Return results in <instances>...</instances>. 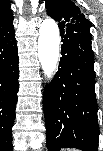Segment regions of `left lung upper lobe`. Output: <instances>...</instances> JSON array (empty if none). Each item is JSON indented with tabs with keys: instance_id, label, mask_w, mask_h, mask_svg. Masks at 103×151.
<instances>
[{
	"instance_id": "1",
	"label": "left lung upper lobe",
	"mask_w": 103,
	"mask_h": 151,
	"mask_svg": "<svg viewBox=\"0 0 103 151\" xmlns=\"http://www.w3.org/2000/svg\"><path fill=\"white\" fill-rule=\"evenodd\" d=\"M45 4L47 14L58 21L60 30L74 25L87 29L92 26L91 22L81 13L79 7L70 0H46Z\"/></svg>"
}]
</instances>
